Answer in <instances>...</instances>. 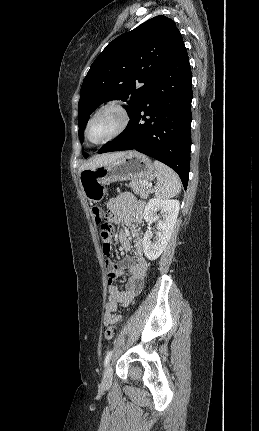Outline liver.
Instances as JSON below:
<instances>
[{
  "label": "liver",
  "instance_id": "6515ba94",
  "mask_svg": "<svg viewBox=\"0 0 259 431\" xmlns=\"http://www.w3.org/2000/svg\"><path fill=\"white\" fill-rule=\"evenodd\" d=\"M124 152H117V153H106L102 155H98L91 159L88 162H85L83 165L79 168V173L85 169H92L104 164H107L109 162L115 161L117 158L122 156Z\"/></svg>",
  "mask_w": 259,
  "mask_h": 431
}]
</instances>
